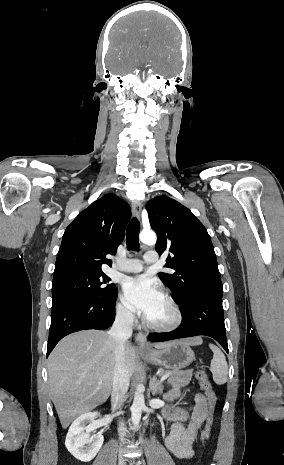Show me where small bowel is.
I'll return each mask as SVG.
<instances>
[{
	"instance_id": "c3829d8e",
	"label": "small bowel",
	"mask_w": 284,
	"mask_h": 465,
	"mask_svg": "<svg viewBox=\"0 0 284 465\" xmlns=\"http://www.w3.org/2000/svg\"><path fill=\"white\" fill-rule=\"evenodd\" d=\"M181 397L179 390L170 391L166 398L173 401ZM164 417L170 422V431L165 438V446L177 459L188 460L194 457L193 443L201 425L212 424V415L208 411L206 399L196 394L194 404L188 408L174 407L165 411Z\"/></svg>"
}]
</instances>
